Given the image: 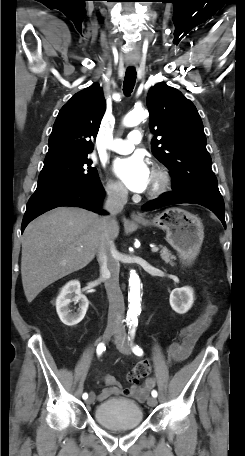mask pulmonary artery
I'll use <instances>...</instances> for the list:
<instances>
[{
  "mask_svg": "<svg viewBox=\"0 0 245 456\" xmlns=\"http://www.w3.org/2000/svg\"><path fill=\"white\" fill-rule=\"evenodd\" d=\"M141 139V132L133 130L128 134L126 139H114L110 145V149L121 154L130 153L133 151L135 145L140 143Z\"/></svg>",
  "mask_w": 245,
  "mask_h": 456,
  "instance_id": "1",
  "label": "pulmonary artery"
}]
</instances>
